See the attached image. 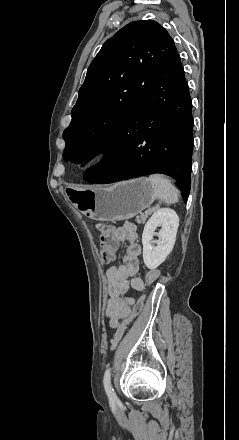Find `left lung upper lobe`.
<instances>
[{
	"label": "left lung upper lobe",
	"instance_id": "left-lung-upper-lobe-1",
	"mask_svg": "<svg viewBox=\"0 0 239 440\" xmlns=\"http://www.w3.org/2000/svg\"><path fill=\"white\" fill-rule=\"evenodd\" d=\"M175 49L168 32L152 20L129 23L108 39L88 68L63 132L64 160L80 163L87 151L104 149Z\"/></svg>",
	"mask_w": 239,
	"mask_h": 440
}]
</instances>
